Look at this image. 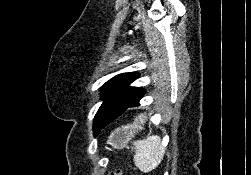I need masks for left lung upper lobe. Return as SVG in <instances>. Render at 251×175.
Here are the masks:
<instances>
[{
    "instance_id": "1",
    "label": "left lung upper lobe",
    "mask_w": 251,
    "mask_h": 175,
    "mask_svg": "<svg viewBox=\"0 0 251 175\" xmlns=\"http://www.w3.org/2000/svg\"><path fill=\"white\" fill-rule=\"evenodd\" d=\"M138 77L139 73L129 72L119 74L107 81L101 88L102 99L104 102L100 106L99 110L113 103L121 105L126 104L137 89V87H129V85ZM98 116L99 113L97 112L93 123V133L95 137L106 126V124H104Z\"/></svg>"
}]
</instances>
